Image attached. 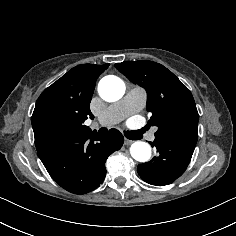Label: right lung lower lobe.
<instances>
[{"mask_svg":"<svg viewBox=\"0 0 236 236\" xmlns=\"http://www.w3.org/2000/svg\"><path fill=\"white\" fill-rule=\"evenodd\" d=\"M123 142L122 134L116 129L105 136L90 130L52 140L38 147L37 152L54 181L71 193L85 194L102 183L106 159Z\"/></svg>","mask_w":236,"mask_h":236,"instance_id":"1","label":"right lung lower lobe"}]
</instances>
